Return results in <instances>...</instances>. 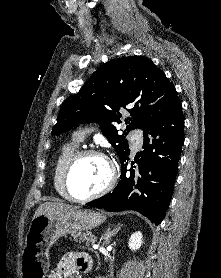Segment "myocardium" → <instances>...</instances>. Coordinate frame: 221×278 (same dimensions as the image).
I'll list each match as a JSON object with an SVG mask.
<instances>
[{
	"instance_id": "f54148a6",
	"label": "myocardium",
	"mask_w": 221,
	"mask_h": 278,
	"mask_svg": "<svg viewBox=\"0 0 221 278\" xmlns=\"http://www.w3.org/2000/svg\"><path fill=\"white\" fill-rule=\"evenodd\" d=\"M87 156H97V157L103 159L106 162L108 169H109V178H108L106 184L97 192L91 193L84 197H77V196L73 195V193L71 192L70 185H69V176H70V173H71L73 167L75 166V164L79 160H81L82 158L87 157ZM117 178H118V174H117V169H116L114 162L104 152L97 150V149H93V148H87V149H82V150L77 151L68 160V162L63 170V174H62V186H63V189H64L68 199H70L74 202L83 203V202H87V201L93 200L95 198H98V197L106 194L107 192H109L116 184Z\"/></svg>"
}]
</instances>
